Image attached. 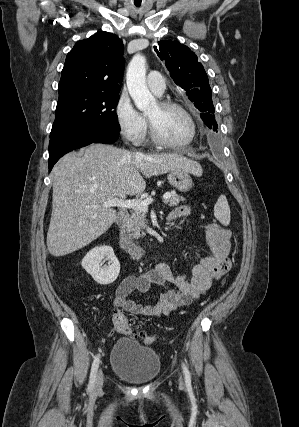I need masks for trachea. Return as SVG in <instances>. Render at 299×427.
<instances>
[{
    "instance_id": "trachea-1",
    "label": "trachea",
    "mask_w": 299,
    "mask_h": 427,
    "mask_svg": "<svg viewBox=\"0 0 299 427\" xmlns=\"http://www.w3.org/2000/svg\"><path fill=\"white\" fill-rule=\"evenodd\" d=\"M136 7H140V4H135Z\"/></svg>"
}]
</instances>
